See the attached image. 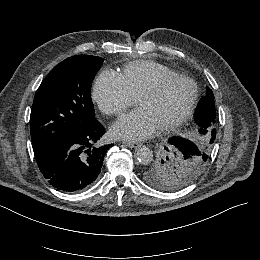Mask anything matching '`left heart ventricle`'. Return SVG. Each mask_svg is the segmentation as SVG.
<instances>
[{
    "label": "left heart ventricle",
    "mask_w": 260,
    "mask_h": 260,
    "mask_svg": "<svg viewBox=\"0 0 260 260\" xmlns=\"http://www.w3.org/2000/svg\"><path fill=\"white\" fill-rule=\"evenodd\" d=\"M193 96L192 83L176 79L163 85L156 94L142 97L137 106L143 108L155 127H158L179 118L188 108Z\"/></svg>",
    "instance_id": "obj_1"
}]
</instances>
